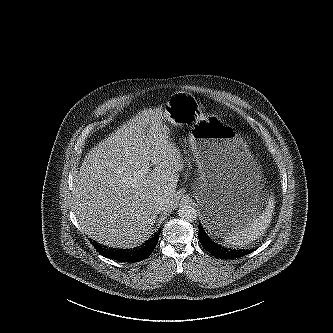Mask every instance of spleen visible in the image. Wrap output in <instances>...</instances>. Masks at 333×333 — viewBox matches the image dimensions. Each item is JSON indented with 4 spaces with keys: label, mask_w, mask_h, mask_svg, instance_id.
<instances>
[{
    "label": "spleen",
    "mask_w": 333,
    "mask_h": 333,
    "mask_svg": "<svg viewBox=\"0 0 333 333\" xmlns=\"http://www.w3.org/2000/svg\"><path fill=\"white\" fill-rule=\"evenodd\" d=\"M275 207L273 195L268 197L265 209L249 219L245 224L232 229L223 236L224 245L231 247H245L259 239L269 227Z\"/></svg>",
    "instance_id": "spleen-1"
}]
</instances>
